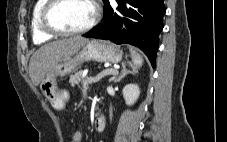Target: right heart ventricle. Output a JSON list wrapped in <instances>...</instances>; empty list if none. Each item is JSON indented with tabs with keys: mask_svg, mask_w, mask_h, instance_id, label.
<instances>
[{
	"mask_svg": "<svg viewBox=\"0 0 227 142\" xmlns=\"http://www.w3.org/2000/svg\"><path fill=\"white\" fill-rule=\"evenodd\" d=\"M46 2L47 0H36L31 13L30 27L33 41L36 44L47 42L53 38L52 34H49L42 29L40 23V13Z\"/></svg>",
	"mask_w": 227,
	"mask_h": 142,
	"instance_id": "1",
	"label": "right heart ventricle"
}]
</instances>
